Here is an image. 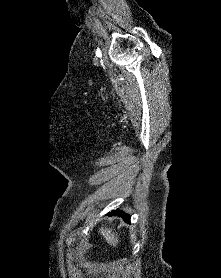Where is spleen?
Returning a JSON list of instances; mask_svg holds the SVG:
<instances>
[{
  "label": "spleen",
  "instance_id": "1",
  "mask_svg": "<svg viewBox=\"0 0 221 278\" xmlns=\"http://www.w3.org/2000/svg\"><path fill=\"white\" fill-rule=\"evenodd\" d=\"M100 234L105 238L106 242L115 247L119 240H118V237L116 236V234L112 231V229H109V228H101L99 230Z\"/></svg>",
  "mask_w": 221,
  "mask_h": 278
}]
</instances>
